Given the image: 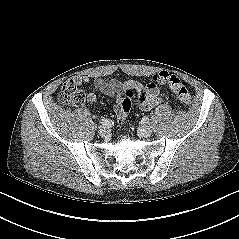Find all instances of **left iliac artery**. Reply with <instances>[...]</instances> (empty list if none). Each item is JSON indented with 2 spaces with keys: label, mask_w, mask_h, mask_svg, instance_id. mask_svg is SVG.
Segmentation results:
<instances>
[{
  "label": "left iliac artery",
  "mask_w": 239,
  "mask_h": 239,
  "mask_svg": "<svg viewBox=\"0 0 239 239\" xmlns=\"http://www.w3.org/2000/svg\"><path fill=\"white\" fill-rule=\"evenodd\" d=\"M142 121L144 123H148L149 122V118L147 116H145V117L142 118Z\"/></svg>",
  "instance_id": "44dca946"
}]
</instances>
